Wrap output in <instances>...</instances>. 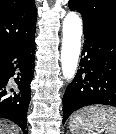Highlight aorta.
Wrapping results in <instances>:
<instances>
[{
    "instance_id": "1",
    "label": "aorta",
    "mask_w": 116,
    "mask_h": 134,
    "mask_svg": "<svg viewBox=\"0 0 116 134\" xmlns=\"http://www.w3.org/2000/svg\"><path fill=\"white\" fill-rule=\"evenodd\" d=\"M82 20L69 12L63 20L61 66L65 79L71 81L76 73L81 48Z\"/></svg>"
}]
</instances>
